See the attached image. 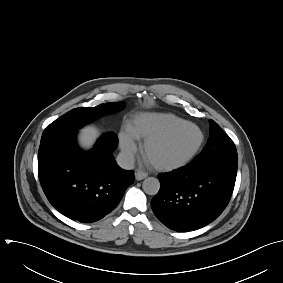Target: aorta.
Segmentation results:
<instances>
[{"instance_id":"762f6f07","label":"aorta","mask_w":283,"mask_h":283,"mask_svg":"<svg viewBox=\"0 0 283 283\" xmlns=\"http://www.w3.org/2000/svg\"><path fill=\"white\" fill-rule=\"evenodd\" d=\"M142 188L148 195H156L160 189V182L157 178L148 177L143 181Z\"/></svg>"}]
</instances>
